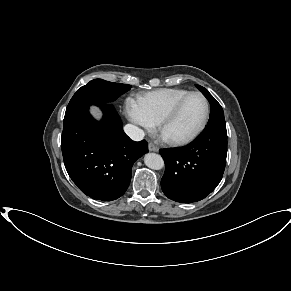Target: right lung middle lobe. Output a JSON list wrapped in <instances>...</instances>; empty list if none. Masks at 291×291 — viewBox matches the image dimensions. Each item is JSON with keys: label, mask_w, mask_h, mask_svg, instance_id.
Segmentation results:
<instances>
[{"label": "right lung middle lobe", "mask_w": 291, "mask_h": 291, "mask_svg": "<svg viewBox=\"0 0 291 291\" xmlns=\"http://www.w3.org/2000/svg\"><path fill=\"white\" fill-rule=\"evenodd\" d=\"M131 88V85L114 83L102 79L90 81L77 90L70 100L64 117L65 120H79L87 113L90 105L102 107L112 102Z\"/></svg>", "instance_id": "1"}]
</instances>
